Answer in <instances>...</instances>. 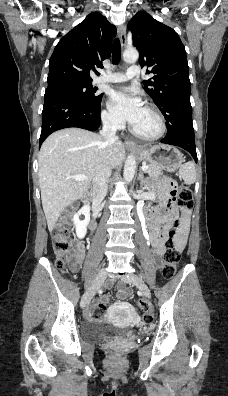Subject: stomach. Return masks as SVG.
Listing matches in <instances>:
<instances>
[{"label": "stomach", "mask_w": 228, "mask_h": 396, "mask_svg": "<svg viewBox=\"0 0 228 396\" xmlns=\"http://www.w3.org/2000/svg\"><path fill=\"white\" fill-rule=\"evenodd\" d=\"M137 155L140 160L147 161L167 172L176 171L184 162V157L177 148L165 144L140 148Z\"/></svg>", "instance_id": "1"}]
</instances>
